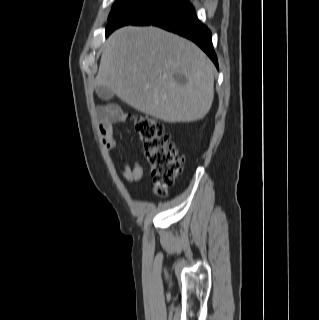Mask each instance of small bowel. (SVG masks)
Wrapping results in <instances>:
<instances>
[{
	"label": "small bowel",
	"mask_w": 319,
	"mask_h": 320,
	"mask_svg": "<svg viewBox=\"0 0 319 320\" xmlns=\"http://www.w3.org/2000/svg\"><path fill=\"white\" fill-rule=\"evenodd\" d=\"M125 114L114 106L104 108L98 116V132L100 143L106 150H112L116 147L114 136V124L125 121ZM121 177L127 182H138L143 176V167L139 160L131 163H124L119 169Z\"/></svg>",
	"instance_id": "obj_1"
}]
</instances>
